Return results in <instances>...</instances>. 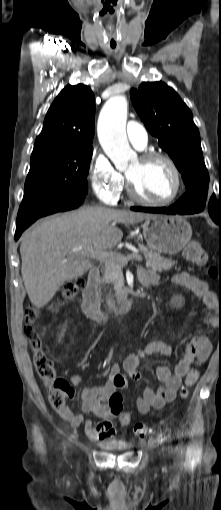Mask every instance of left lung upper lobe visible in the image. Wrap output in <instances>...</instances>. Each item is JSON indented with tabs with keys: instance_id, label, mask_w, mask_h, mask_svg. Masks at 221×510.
I'll list each match as a JSON object with an SVG mask.
<instances>
[{
	"instance_id": "5c2ea615",
	"label": "left lung upper lobe",
	"mask_w": 221,
	"mask_h": 510,
	"mask_svg": "<svg viewBox=\"0 0 221 510\" xmlns=\"http://www.w3.org/2000/svg\"><path fill=\"white\" fill-rule=\"evenodd\" d=\"M133 105L148 131L173 159L181 172L187 192L175 205L209 211H221V201L208 193L206 169L200 134L190 109L179 95L164 82H144L130 92Z\"/></svg>"
}]
</instances>
